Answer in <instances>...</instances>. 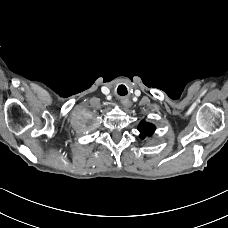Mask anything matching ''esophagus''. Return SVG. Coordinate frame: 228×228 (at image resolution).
I'll return each mask as SVG.
<instances>
[{
	"mask_svg": "<svg viewBox=\"0 0 228 228\" xmlns=\"http://www.w3.org/2000/svg\"><path fill=\"white\" fill-rule=\"evenodd\" d=\"M122 104L124 105L125 108H129L131 105L128 99H123Z\"/></svg>",
	"mask_w": 228,
	"mask_h": 228,
	"instance_id": "1",
	"label": "esophagus"
}]
</instances>
